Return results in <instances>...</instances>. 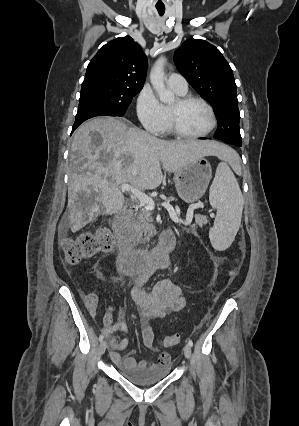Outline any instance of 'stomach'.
Masks as SVG:
<instances>
[{"mask_svg": "<svg viewBox=\"0 0 299 426\" xmlns=\"http://www.w3.org/2000/svg\"><path fill=\"white\" fill-rule=\"evenodd\" d=\"M211 178V165L205 157H201L176 171L174 182L179 197L193 203L204 195Z\"/></svg>", "mask_w": 299, "mask_h": 426, "instance_id": "obj_1", "label": "stomach"}]
</instances>
